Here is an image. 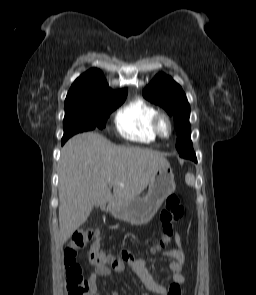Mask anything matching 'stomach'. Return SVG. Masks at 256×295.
<instances>
[{"mask_svg": "<svg viewBox=\"0 0 256 295\" xmlns=\"http://www.w3.org/2000/svg\"><path fill=\"white\" fill-rule=\"evenodd\" d=\"M173 170L167 162L162 164L149 184L148 193L125 203H114L109 211L118 220L132 225L148 223L157 213L164 200L175 191Z\"/></svg>", "mask_w": 256, "mask_h": 295, "instance_id": "1", "label": "stomach"}]
</instances>
